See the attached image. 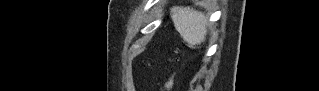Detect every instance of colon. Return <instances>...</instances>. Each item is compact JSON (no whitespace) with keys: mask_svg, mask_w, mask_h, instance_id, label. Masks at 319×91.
I'll list each match as a JSON object with an SVG mask.
<instances>
[{"mask_svg":"<svg viewBox=\"0 0 319 91\" xmlns=\"http://www.w3.org/2000/svg\"><path fill=\"white\" fill-rule=\"evenodd\" d=\"M174 77H175V72L171 71L168 81L166 83V88L169 90L171 89L172 85H173V81H174Z\"/></svg>","mask_w":319,"mask_h":91,"instance_id":"5ec220e1","label":"colon"}]
</instances>
